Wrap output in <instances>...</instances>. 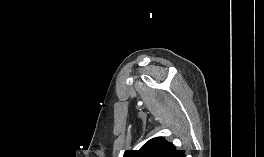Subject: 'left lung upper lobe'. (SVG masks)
I'll use <instances>...</instances> for the list:
<instances>
[{
    "instance_id": "left-lung-upper-lobe-1",
    "label": "left lung upper lobe",
    "mask_w": 264,
    "mask_h": 157,
    "mask_svg": "<svg viewBox=\"0 0 264 157\" xmlns=\"http://www.w3.org/2000/svg\"><path fill=\"white\" fill-rule=\"evenodd\" d=\"M123 157H185V151L176 149L163 137H156L146 142L139 150H126Z\"/></svg>"
}]
</instances>
